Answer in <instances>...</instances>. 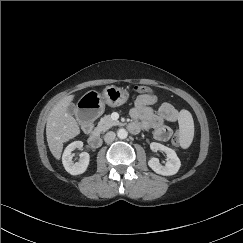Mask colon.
I'll list each match as a JSON object with an SVG mask.
<instances>
[{"label":"colon","instance_id":"colon-1","mask_svg":"<svg viewBox=\"0 0 243 243\" xmlns=\"http://www.w3.org/2000/svg\"><path fill=\"white\" fill-rule=\"evenodd\" d=\"M134 90L143 95H154V91L148 86L138 85L134 87ZM173 143L176 145L179 143L178 136H174Z\"/></svg>","mask_w":243,"mask_h":243}]
</instances>
